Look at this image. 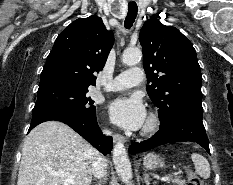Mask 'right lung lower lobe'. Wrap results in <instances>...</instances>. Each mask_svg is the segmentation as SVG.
I'll list each match as a JSON object with an SVG mask.
<instances>
[{"label": "right lung lower lobe", "instance_id": "obj_1", "mask_svg": "<svg viewBox=\"0 0 233 185\" xmlns=\"http://www.w3.org/2000/svg\"><path fill=\"white\" fill-rule=\"evenodd\" d=\"M49 120H56L69 125L104 155L109 154L112 150V138L102 135L96 121V114L87 116L83 113L55 108L33 109L29 131L38 124Z\"/></svg>", "mask_w": 233, "mask_h": 185}]
</instances>
